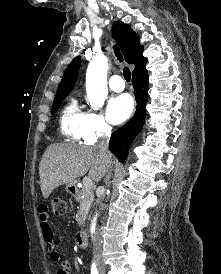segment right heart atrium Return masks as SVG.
<instances>
[{
	"instance_id": "d8ad5b80",
	"label": "right heart atrium",
	"mask_w": 221,
	"mask_h": 274,
	"mask_svg": "<svg viewBox=\"0 0 221 274\" xmlns=\"http://www.w3.org/2000/svg\"><path fill=\"white\" fill-rule=\"evenodd\" d=\"M110 133L111 127L103 115L93 111L85 113L82 123V139L86 143H95Z\"/></svg>"
}]
</instances>
